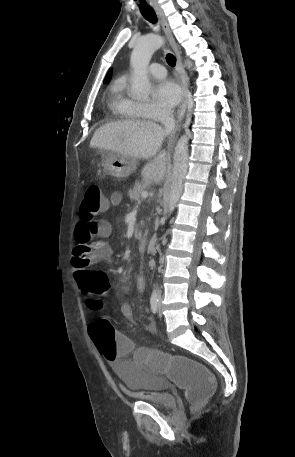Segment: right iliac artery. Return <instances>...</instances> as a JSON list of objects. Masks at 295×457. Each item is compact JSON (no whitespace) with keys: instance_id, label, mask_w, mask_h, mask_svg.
Instances as JSON below:
<instances>
[{"instance_id":"82829eb1","label":"right iliac artery","mask_w":295,"mask_h":457,"mask_svg":"<svg viewBox=\"0 0 295 457\" xmlns=\"http://www.w3.org/2000/svg\"><path fill=\"white\" fill-rule=\"evenodd\" d=\"M159 299L157 294H152L150 299L151 310L153 313H157L158 310Z\"/></svg>"}]
</instances>
